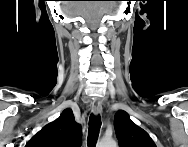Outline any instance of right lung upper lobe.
I'll return each instance as SVG.
<instances>
[{
	"label": "right lung upper lobe",
	"instance_id": "right-lung-upper-lobe-1",
	"mask_svg": "<svg viewBox=\"0 0 188 147\" xmlns=\"http://www.w3.org/2000/svg\"><path fill=\"white\" fill-rule=\"evenodd\" d=\"M81 126L75 122L70 109L43 127L27 144V147H80Z\"/></svg>",
	"mask_w": 188,
	"mask_h": 147
}]
</instances>
